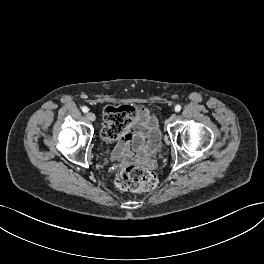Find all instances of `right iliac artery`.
Wrapping results in <instances>:
<instances>
[{
  "instance_id": "1",
  "label": "right iliac artery",
  "mask_w": 264,
  "mask_h": 264,
  "mask_svg": "<svg viewBox=\"0 0 264 264\" xmlns=\"http://www.w3.org/2000/svg\"><path fill=\"white\" fill-rule=\"evenodd\" d=\"M88 107H86V106H84L83 108H82V111L84 112V113H87L88 112Z\"/></svg>"
}]
</instances>
